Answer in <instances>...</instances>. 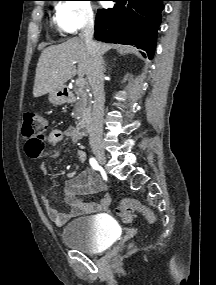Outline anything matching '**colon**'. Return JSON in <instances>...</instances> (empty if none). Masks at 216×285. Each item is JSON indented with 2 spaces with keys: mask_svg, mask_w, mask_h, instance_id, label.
<instances>
[{
  "mask_svg": "<svg viewBox=\"0 0 216 285\" xmlns=\"http://www.w3.org/2000/svg\"><path fill=\"white\" fill-rule=\"evenodd\" d=\"M47 129V118L41 113L28 112L24 115L22 135L26 140V152L30 157L36 158L42 153ZM135 211L142 213L148 222L153 223L155 221L153 212L133 198L123 199L115 209V213L123 222L128 224L133 221Z\"/></svg>",
  "mask_w": 216,
  "mask_h": 285,
  "instance_id": "1",
  "label": "colon"
}]
</instances>
